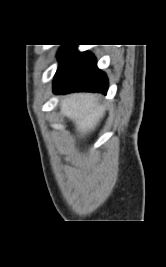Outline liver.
<instances>
[{"label": "liver", "instance_id": "liver-1", "mask_svg": "<svg viewBox=\"0 0 166 267\" xmlns=\"http://www.w3.org/2000/svg\"><path fill=\"white\" fill-rule=\"evenodd\" d=\"M61 114L75 123L80 137L95 130L105 115V110L98 103V98L89 93H75L66 96L60 103Z\"/></svg>", "mask_w": 166, "mask_h": 267}]
</instances>
